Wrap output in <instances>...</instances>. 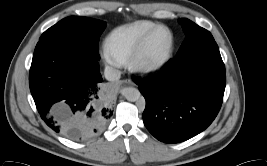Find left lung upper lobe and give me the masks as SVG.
Segmentation results:
<instances>
[{
    "mask_svg": "<svg viewBox=\"0 0 267 166\" xmlns=\"http://www.w3.org/2000/svg\"><path fill=\"white\" fill-rule=\"evenodd\" d=\"M179 22L184 29L186 37L176 57L183 56L201 43L214 41V38L209 31L198 26L194 22L186 18L179 19Z\"/></svg>",
    "mask_w": 267,
    "mask_h": 166,
    "instance_id": "left-lung-upper-lobe-1",
    "label": "left lung upper lobe"
}]
</instances>
